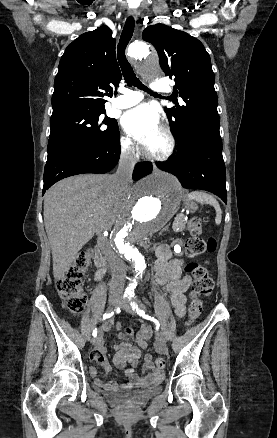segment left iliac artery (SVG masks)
Here are the masks:
<instances>
[{"label":"left iliac artery","mask_w":277,"mask_h":438,"mask_svg":"<svg viewBox=\"0 0 277 438\" xmlns=\"http://www.w3.org/2000/svg\"><path fill=\"white\" fill-rule=\"evenodd\" d=\"M131 306H132L133 310H136L137 314L140 315L141 317L146 318V319H149V318H150V316H148L147 314H145L144 311L139 310L138 307H137V305H136L134 302H131Z\"/></svg>","instance_id":"left-iliac-artery-1"}]
</instances>
